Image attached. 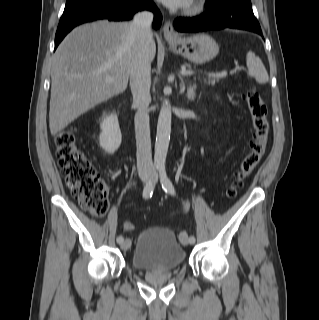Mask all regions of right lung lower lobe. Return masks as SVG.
<instances>
[{"label":"right lung lower lobe","instance_id":"98d812e1","mask_svg":"<svg viewBox=\"0 0 319 320\" xmlns=\"http://www.w3.org/2000/svg\"><path fill=\"white\" fill-rule=\"evenodd\" d=\"M144 9L154 12L153 26L158 28L162 16L152 0H90L74 9L64 10L55 36V48L65 35L79 24L99 19L127 20L131 19L135 12Z\"/></svg>","mask_w":319,"mask_h":320}]
</instances>
